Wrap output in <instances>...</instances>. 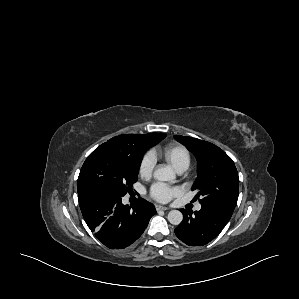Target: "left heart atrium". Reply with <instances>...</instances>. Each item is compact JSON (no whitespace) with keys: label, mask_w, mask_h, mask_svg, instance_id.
Here are the masks:
<instances>
[{"label":"left heart atrium","mask_w":299,"mask_h":299,"mask_svg":"<svg viewBox=\"0 0 299 299\" xmlns=\"http://www.w3.org/2000/svg\"><path fill=\"white\" fill-rule=\"evenodd\" d=\"M179 194V189L170 187L162 183L152 185L150 195L159 202H168L173 197Z\"/></svg>","instance_id":"1"}]
</instances>
